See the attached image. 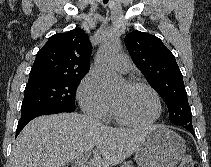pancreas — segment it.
Segmentation results:
<instances>
[{"instance_id": "1", "label": "pancreas", "mask_w": 211, "mask_h": 167, "mask_svg": "<svg viewBox=\"0 0 211 167\" xmlns=\"http://www.w3.org/2000/svg\"><path fill=\"white\" fill-rule=\"evenodd\" d=\"M120 167H133V166L130 165L129 163H124V164H122Z\"/></svg>"}]
</instances>
